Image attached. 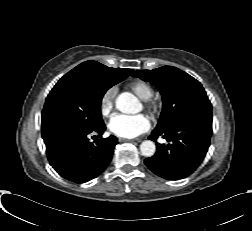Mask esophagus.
<instances>
[{
	"label": "esophagus",
	"mask_w": 252,
	"mask_h": 231,
	"mask_svg": "<svg viewBox=\"0 0 252 231\" xmlns=\"http://www.w3.org/2000/svg\"><path fill=\"white\" fill-rule=\"evenodd\" d=\"M134 140L126 139V138H119V142H133Z\"/></svg>",
	"instance_id": "esophagus-1"
}]
</instances>
